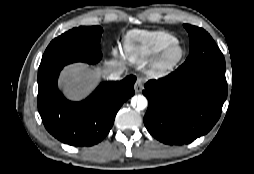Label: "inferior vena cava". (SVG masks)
<instances>
[{"label": "inferior vena cava", "instance_id": "1", "mask_svg": "<svg viewBox=\"0 0 254 174\" xmlns=\"http://www.w3.org/2000/svg\"><path fill=\"white\" fill-rule=\"evenodd\" d=\"M125 71L124 66L116 67L109 75L108 78L110 80H119L121 78L122 73Z\"/></svg>", "mask_w": 254, "mask_h": 174}]
</instances>
